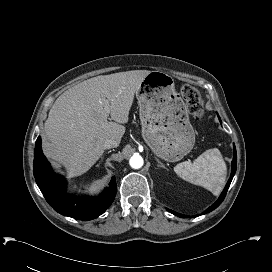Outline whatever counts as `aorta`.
<instances>
[{
  "label": "aorta",
  "instance_id": "762f6f07",
  "mask_svg": "<svg viewBox=\"0 0 272 272\" xmlns=\"http://www.w3.org/2000/svg\"><path fill=\"white\" fill-rule=\"evenodd\" d=\"M143 163V158L138 154L133 155L129 160V164L133 169L141 168L143 166Z\"/></svg>",
  "mask_w": 272,
  "mask_h": 272
}]
</instances>
